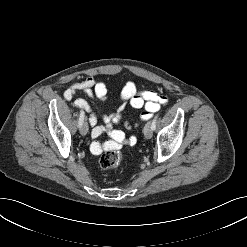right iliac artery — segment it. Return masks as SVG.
<instances>
[{
  "instance_id": "obj_1",
  "label": "right iliac artery",
  "mask_w": 247,
  "mask_h": 247,
  "mask_svg": "<svg viewBox=\"0 0 247 247\" xmlns=\"http://www.w3.org/2000/svg\"><path fill=\"white\" fill-rule=\"evenodd\" d=\"M84 117H85V113L83 110L80 111V118H79V122H78V126L81 127L83 122H84Z\"/></svg>"
}]
</instances>
